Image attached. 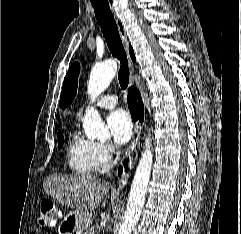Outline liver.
Instances as JSON below:
<instances>
[{"label":"liver","mask_w":241,"mask_h":234,"mask_svg":"<svg viewBox=\"0 0 241 234\" xmlns=\"http://www.w3.org/2000/svg\"><path fill=\"white\" fill-rule=\"evenodd\" d=\"M43 188L67 207L91 211L101 204L109 191V184L88 174H53L45 179Z\"/></svg>","instance_id":"1"}]
</instances>
